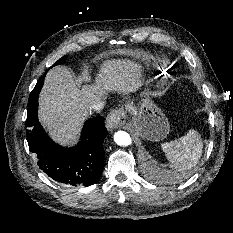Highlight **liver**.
<instances>
[{
    "instance_id": "6515ba94",
    "label": "liver",
    "mask_w": 233,
    "mask_h": 233,
    "mask_svg": "<svg viewBox=\"0 0 233 233\" xmlns=\"http://www.w3.org/2000/svg\"><path fill=\"white\" fill-rule=\"evenodd\" d=\"M140 76L137 63L111 59L104 61L95 84L80 88L67 67H54L47 73L39 96V120L55 141L73 143L93 101L106 91L132 92Z\"/></svg>"
}]
</instances>
